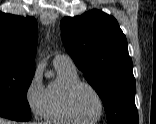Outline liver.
Here are the masks:
<instances>
[{"label":"liver","mask_w":156,"mask_h":124,"mask_svg":"<svg viewBox=\"0 0 156 124\" xmlns=\"http://www.w3.org/2000/svg\"><path fill=\"white\" fill-rule=\"evenodd\" d=\"M0 124H12V123H11V121H7V120L0 118ZM29 124H31V123H29Z\"/></svg>","instance_id":"liver-1"}]
</instances>
